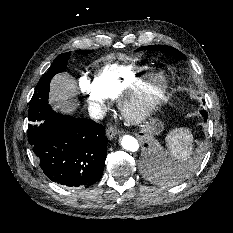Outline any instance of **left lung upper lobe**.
<instances>
[{"label":"left lung upper lobe","mask_w":233,"mask_h":233,"mask_svg":"<svg viewBox=\"0 0 233 233\" xmlns=\"http://www.w3.org/2000/svg\"><path fill=\"white\" fill-rule=\"evenodd\" d=\"M141 50H162L164 52L169 53L170 55L178 58V59H184L185 56L177 49L170 47V46H166V45H151V46H143L140 47L139 49H137V51H141Z\"/></svg>","instance_id":"obj_1"}]
</instances>
